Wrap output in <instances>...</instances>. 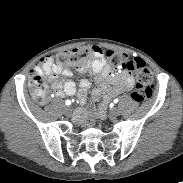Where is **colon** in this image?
Returning a JSON list of instances; mask_svg holds the SVG:
<instances>
[{
  "mask_svg": "<svg viewBox=\"0 0 183 183\" xmlns=\"http://www.w3.org/2000/svg\"><path fill=\"white\" fill-rule=\"evenodd\" d=\"M93 55L91 47H78L72 50L64 51L56 55L55 63L63 68H69L73 66L81 67L86 65ZM106 59L108 63L117 69L125 71L137 72V85L132 93L134 101L141 103L148 99L152 95L154 87V78L151 70L146 66L145 62L140 58L129 59L127 56L116 51H107ZM47 59L41 60V62L32 69L29 80L30 93L33 99L39 103H45L47 99V87L44 79L43 67L46 64ZM124 94V87L120 84H113L111 88L107 90V94L104 95L105 99L109 97L122 96ZM101 99L100 103L105 104L106 100ZM99 114L98 110L83 118L81 125L86 129H93L95 127L94 117Z\"/></svg>",
  "mask_w": 183,
  "mask_h": 183,
  "instance_id": "5ec220e1",
  "label": "colon"
}]
</instances>
